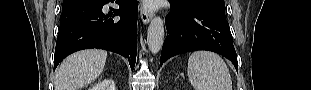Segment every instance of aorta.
<instances>
[{
	"label": "aorta",
	"mask_w": 311,
	"mask_h": 90,
	"mask_svg": "<svg viewBox=\"0 0 311 90\" xmlns=\"http://www.w3.org/2000/svg\"><path fill=\"white\" fill-rule=\"evenodd\" d=\"M164 42V24L160 17H154L148 27L147 44L152 54H157Z\"/></svg>",
	"instance_id": "obj_1"
}]
</instances>
